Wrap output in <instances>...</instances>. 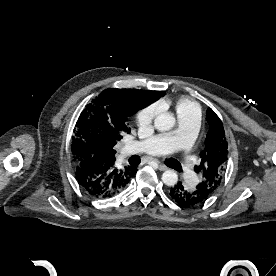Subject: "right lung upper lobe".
I'll list each match as a JSON object with an SVG mask.
<instances>
[{
  "label": "right lung upper lobe",
  "mask_w": 276,
  "mask_h": 276,
  "mask_svg": "<svg viewBox=\"0 0 276 276\" xmlns=\"http://www.w3.org/2000/svg\"><path fill=\"white\" fill-rule=\"evenodd\" d=\"M164 91H150L137 89H107L102 92V96L110 98L129 117L139 109L150 104L154 100L164 96ZM130 128L124 123L114 134L109 136V140L101 145L100 149L82 159L95 157L101 162L114 163L116 151L113 147L122 138L123 133H130Z\"/></svg>",
  "instance_id": "obj_1"
}]
</instances>
